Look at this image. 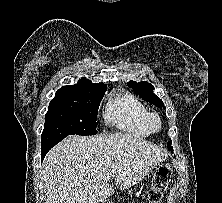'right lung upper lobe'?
<instances>
[{"label": "right lung upper lobe", "instance_id": "1", "mask_svg": "<svg viewBox=\"0 0 222 203\" xmlns=\"http://www.w3.org/2000/svg\"><path fill=\"white\" fill-rule=\"evenodd\" d=\"M107 85L104 83H92L89 79L82 78L75 85L64 86L59 91H106Z\"/></svg>", "mask_w": 222, "mask_h": 203}]
</instances>
